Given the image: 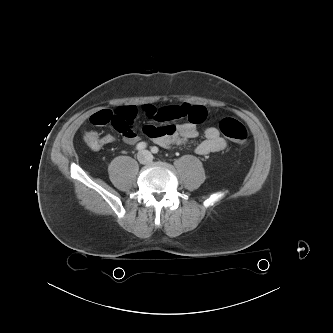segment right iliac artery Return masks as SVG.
Here are the masks:
<instances>
[{
    "label": "right iliac artery",
    "mask_w": 333,
    "mask_h": 333,
    "mask_svg": "<svg viewBox=\"0 0 333 333\" xmlns=\"http://www.w3.org/2000/svg\"><path fill=\"white\" fill-rule=\"evenodd\" d=\"M147 147V144L145 142H140L136 145V149L141 151L144 150Z\"/></svg>",
    "instance_id": "right-iliac-artery-1"
}]
</instances>
